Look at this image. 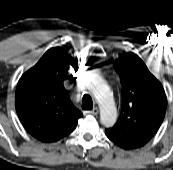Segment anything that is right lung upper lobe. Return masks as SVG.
Wrapping results in <instances>:
<instances>
[{
  "mask_svg": "<svg viewBox=\"0 0 173 170\" xmlns=\"http://www.w3.org/2000/svg\"><path fill=\"white\" fill-rule=\"evenodd\" d=\"M70 66L77 67L78 60L60 47L51 48L17 84L18 117L26 131L41 142L52 143L67 136L82 117L63 86Z\"/></svg>",
  "mask_w": 173,
  "mask_h": 170,
  "instance_id": "obj_1",
  "label": "right lung upper lobe"
}]
</instances>
